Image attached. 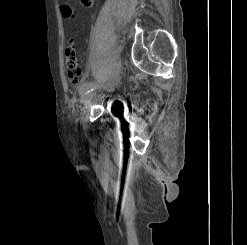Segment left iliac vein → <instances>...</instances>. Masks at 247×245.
Segmentation results:
<instances>
[{"label":"left iliac vein","instance_id":"obj_1","mask_svg":"<svg viewBox=\"0 0 247 245\" xmlns=\"http://www.w3.org/2000/svg\"><path fill=\"white\" fill-rule=\"evenodd\" d=\"M118 80H119V74L115 73L114 76L112 77L110 83L107 86H105V88L112 89L117 84ZM95 96H96V88L94 87V89H92L88 93L82 95L81 101H82L83 105L85 107H88L92 103Z\"/></svg>","mask_w":247,"mask_h":245}]
</instances>
